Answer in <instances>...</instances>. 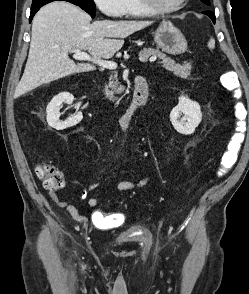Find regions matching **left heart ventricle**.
<instances>
[{
    "label": "left heart ventricle",
    "mask_w": 249,
    "mask_h": 294,
    "mask_svg": "<svg viewBox=\"0 0 249 294\" xmlns=\"http://www.w3.org/2000/svg\"><path fill=\"white\" fill-rule=\"evenodd\" d=\"M158 8L165 9L176 6L181 0H153Z\"/></svg>",
    "instance_id": "left-heart-ventricle-1"
}]
</instances>
